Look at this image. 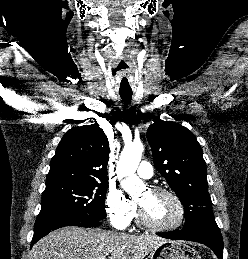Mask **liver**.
I'll return each mask as SVG.
<instances>
[{
    "mask_svg": "<svg viewBox=\"0 0 248 259\" xmlns=\"http://www.w3.org/2000/svg\"><path fill=\"white\" fill-rule=\"evenodd\" d=\"M166 239L101 229L64 227L51 232L31 250L30 259H143Z\"/></svg>",
    "mask_w": 248,
    "mask_h": 259,
    "instance_id": "obj_1",
    "label": "liver"
}]
</instances>
